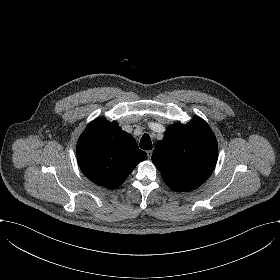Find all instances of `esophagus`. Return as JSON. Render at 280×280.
<instances>
[{
	"label": "esophagus",
	"mask_w": 280,
	"mask_h": 280,
	"mask_svg": "<svg viewBox=\"0 0 280 280\" xmlns=\"http://www.w3.org/2000/svg\"><path fill=\"white\" fill-rule=\"evenodd\" d=\"M146 153H147L148 159H150L152 156V150H147Z\"/></svg>",
	"instance_id": "esophagus-1"
}]
</instances>
